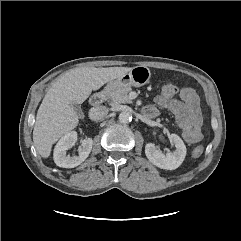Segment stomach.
Wrapping results in <instances>:
<instances>
[{
    "label": "stomach",
    "mask_w": 241,
    "mask_h": 241,
    "mask_svg": "<svg viewBox=\"0 0 241 241\" xmlns=\"http://www.w3.org/2000/svg\"><path fill=\"white\" fill-rule=\"evenodd\" d=\"M151 78V71L146 66H135L129 72L107 84V90H115L120 87H141L147 84Z\"/></svg>",
    "instance_id": "0dacf381"
}]
</instances>
